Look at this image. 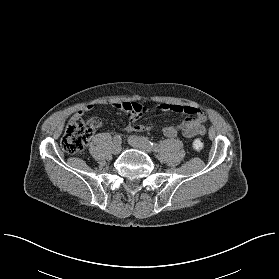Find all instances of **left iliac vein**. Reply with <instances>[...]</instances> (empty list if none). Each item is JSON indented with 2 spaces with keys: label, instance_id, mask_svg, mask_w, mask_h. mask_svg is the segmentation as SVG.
Returning a JSON list of instances; mask_svg holds the SVG:
<instances>
[{
  "label": "left iliac vein",
  "instance_id": "obj_1",
  "mask_svg": "<svg viewBox=\"0 0 279 279\" xmlns=\"http://www.w3.org/2000/svg\"><path fill=\"white\" fill-rule=\"evenodd\" d=\"M128 142L133 148L141 150L147 154H150L152 152L149 144L146 143L143 138L137 136H130L128 137Z\"/></svg>",
  "mask_w": 279,
  "mask_h": 279
}]
</instances>
